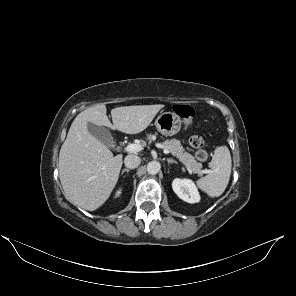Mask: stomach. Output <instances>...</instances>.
I'll return each mask as SVG.
<instances>
[{"instance_id": "obj_1", "label": "stomach", "mask_w": 296, "mask_h": 296, "mask_svg": "<svg viewBox=\"0 0 296 296\" xmlns=\"http://www.w3.org/2000/svg\"><path fill=\"white\" fill-rule=\"evenodd\" d=\"M181 123L182 121L176 113L163 112L157 117L155 126L162 135L172 136L180 131Z\"/></svg>"}]
</instances>
